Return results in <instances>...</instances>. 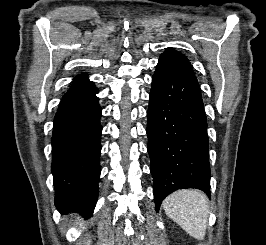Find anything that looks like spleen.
<instances>
[{
	"instance_id": "obj_1",
	"label": "spleen",
	"mask_w": 266,
	"mask_h": 245,
	"mask_svg": "<svg viewBox=\"0 0 266 245\" xmlns=\"http://www.w3.org/2000/svg\"><path fill=\"white\" fill-rule=\"evenodd\" d=\"M167 217L173 219L190 237L203 241L208 225L207 199L201 191H176L162 205Z\"/></svg>"
}]
</instances>
